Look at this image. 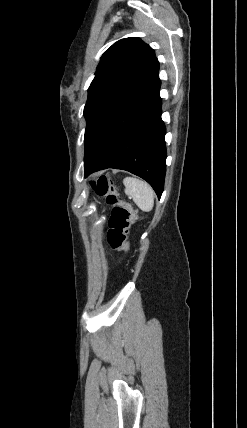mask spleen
I'll list each match as a JSON object with an SVG mask.
<instances>
[{
	"instance_id": "1",
	"label": "spleen",
	"mask_w": 247,
	"mask_h": 428,
	"mask_svg": "<svg viewBox=\"0 0 247 428\" xmlns=\"http://www.w3.org/2000/svg\"><path fill=\"white\" fill-rule=\"evenodd\" d=\"M125 194L132 197L135 204L145 212L153 209L154 191L145 181L127 177L124 179Z\"/></svg>"
}]
</instances>
